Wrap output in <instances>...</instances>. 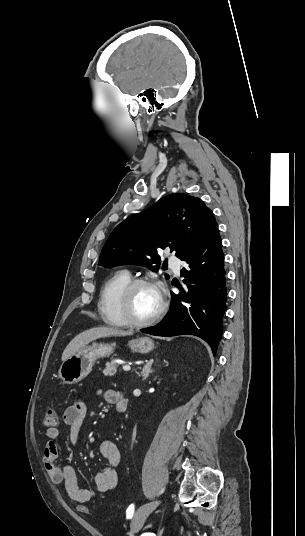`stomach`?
I'll return each mask as SVG.
<instances>
[{"mask_svg": "<svg viewBox=\"0 0 305 536\" xmlns=\"http://www.w3.org/2000/svg\"><path fill=\"white\" fill-rule=\"evenodd\" d=\"M115 346L116 344H97V342L84 346L61 364L58 372L59 378L64 384H78L90 374L98 358H108L113 354ZM129 346L133 352H139V354H149L154 348L150 338L131 340Z\"/></svg>", "mask_w": 305, "mask_h": 536, "instance_id": "obj_1", "label": "stomach"}]
</instances>
